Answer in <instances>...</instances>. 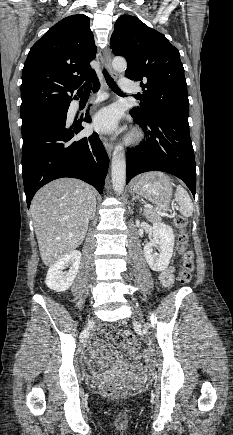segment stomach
<instances>
[{"mask_svg": "<svg viewBox=\"0 0 233 435\" xmlns=\"http://www.w3.org/2000/svg\"><path fill=\"white\" fill-rule=\"evenodd\" d=\"M133 191L158 208L167 210L172 197V181L162 172H149L134 181Z\"/></svg>", "mask_w": 233, "mask_h": 435, "instance_id": "obj_1", "label": "stomach"}]
</instances>
